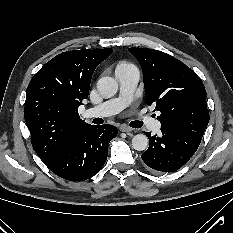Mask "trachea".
Instances as JSON below:
<instances>
[{
    "label": "trachea",
    "instance_id": "1",
    "mask_svg": "<svg viewBox=\"0 0 233 233\" xmlns=\"http://www.w3.org/2000/svg\"><path fill=\"white\" fill-rule=\"evenodd\" d=\"M130 126L133 128H141L143 126V122L142 121H133L130 123Z\"/></svg>",
    "mask_w": 233,
    "mask_h": 233
}]
</instances>
